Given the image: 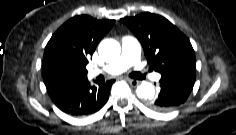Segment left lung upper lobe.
<instances>
[{
	"mask_svg": "<svg viewBox=\"0 0 236 135\" xmlns=\"http://www.w3.org/2000/svg\"><path fill=\"white\" fill-rule=\"evenodd\" d=\"M121 21L141 42L152 69L161 75L196 74L195 53L189 39L166 18L145 12Z\"/></svg>",
	"mask_w": 236,
	"mask_h": 135,
	"instance_id": "1",
	"label": "left lung upper lobe"
}]
</instances>
